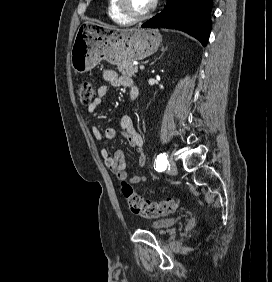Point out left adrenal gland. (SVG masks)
Here are the masks:
<instances>
[{"instance_id":"a2214340","label":"left adrenal gland","mask_w":272,"mask_h":282,"mask_svg":"<svg viewBox=\"0 0 272 282\" xmlns=\"http://www.w3.org/2000/svg\"><path fill=\"white\" fill-rule=\"evenodd\" d=\"M167 48H168L167 46L161 48V52H162V53L160 54V56H159L158 58H156V59L151 63V65L154 64L158 59H160V58L164 55V53L167 51Z\"/></svg>"}]
</instances>
